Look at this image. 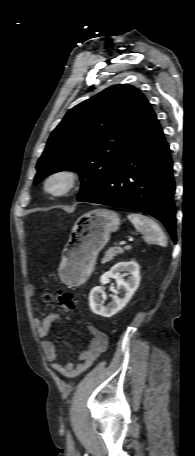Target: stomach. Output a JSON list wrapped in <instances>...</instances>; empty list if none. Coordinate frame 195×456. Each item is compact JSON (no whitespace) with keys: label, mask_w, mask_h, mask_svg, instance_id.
<instances>
[{"label":"stomach","mask_w":195,"mask_h":456,"mask_svg":"<svg viewBox=\"0 0 195 456\" xmlns=\"http://www.w3.org/2000/svg\"><path fill=\"white\" fill-rule=\"evenodd\" d=\"M120 223L119 215L108 209L89 211L78 218L62 253L59 274L65 283L80 285L90 276L98 253Z\"/></svg>","instance_id":"obj_1"}]
</instances>
